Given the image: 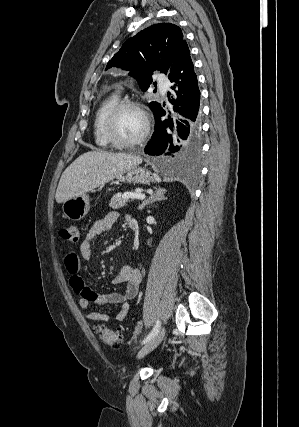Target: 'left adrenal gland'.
<instances>
[{
    "label": "left adrenal gland",
    "instance_id": "obj_1",
    "mask_svg": "<svg viewBox=\"0 0 299 427\" xmlns=\"http://www.w3.org/2000/svg\"><path fill=\"white\" fill-rule=\"evenodd\" d=\"M166 190L163 188H158L155 190L154 194H152L147 200L143 201L141 205H139V209L142 210L145 206L152 204L157 201L165 200Z\"/></svg>",
    "mask_w": 299,
    "mask_h": 427
}]
</instances>
